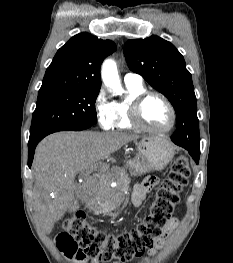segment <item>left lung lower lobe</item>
<instances>
[{"instance_id":"0a47b994","label":"left lung lower lobe","mask_w":233,"mask_h":263,"mask_svg":"<svg viewBox=\"0 0 233 263\" xmlns=\"http://www.w3.org/2000/svg\"><path fill=\"white\" fill-rule=\"evenodd\" d=\"M175 144H177V145L185 148L186 150H188L189 154L193 157L195 162L198 164L199 156H200V149L196 145L189 144V143H180V142H177Z\"/></svg>"}]
</instances>
